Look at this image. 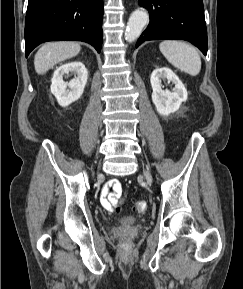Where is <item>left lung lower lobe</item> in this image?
Wrapping results in <instances>:
<instances>
[{"instance_id":"left-lung-lower-lobe-1","label":"left lung lower lobe","mask_w":243,"mask_h":289,"mask_svg":"<svg viewBox=\"0 0 243 289\" xmlns=\"http://www.w3.org/2000/svg\"><path fill=\"white\" fill-rule=\"evenodd\" d=\"M148 9L150 23L137 41L180 39L207 54V30L202 0H139Z\"/></svg>"}]
</instances>
